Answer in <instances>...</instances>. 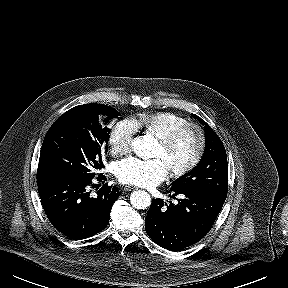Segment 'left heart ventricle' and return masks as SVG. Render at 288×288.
<instances>
[{
    "mask_svg": "<svg viewBox=\"0 0 288 288\" xmlns=\"http://www.w3.org/2000/svg\"><path fill=\"white\" fill-rule=\"evenodd\" d=\"M197 144L198 138L196 133L188 131L180 136L168 149L159 142L156 156L164 159L168 169L179 167L192 158L196 151Z\"/></svg>",
    "mask_w": 288,
    "mask_h": 288,
    "instance_id": "left-heart-ventricle-1",
    "label": "left heart ventricle"
}]
</instances>
